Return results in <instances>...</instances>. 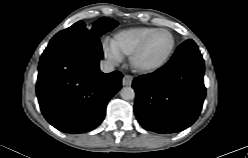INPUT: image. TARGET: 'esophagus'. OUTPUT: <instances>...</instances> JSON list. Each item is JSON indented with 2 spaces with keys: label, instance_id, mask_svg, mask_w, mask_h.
I'll return each mask as SVG.
<instances>
[{
  "label": "esophagus",
  "instance_id": "obj_1",
  "mask_svg": "<svg viewBox=\"0 0 248 158\" xmlns=\"http://www.w3.org/2000/svg\"><path fill=\"white\" fill-rule=\"evenodd\" d=\"M132 76L130 75H125L122 79V84L123 86H130L132 84Z\"/></svg>",
  "mask_w": 248,
  "mask_h": 158
}]
</instances>
